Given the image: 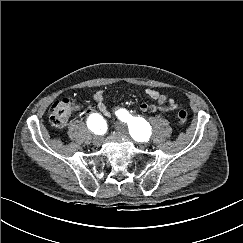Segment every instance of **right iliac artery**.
Instances as JSON below:
<instances>
[{
  "label": "right iliac artery",
  "instance_id": "obj_1",
  "mask_svg": "<svg viewBox=\"0 0 243 243\" xmlns=\"http://www.w3.org/2000/svg\"><path fill=\"white\" fill-rule=\"evenodd\" d=\"M87 126L93 133L99 134L105 126V121L101 115L92 114L87 120Z\"/></svg>",
  "mask_w": 243,
  "mask_h": 243
}]
</instances>
